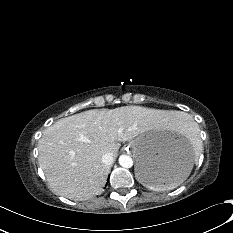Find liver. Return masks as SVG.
<instances>
[{"label":"liver","instance_id":"1","mask_svg":"<svg viewBox=\"0 0 233 233\" xmlns=\"http://www.w3.org/2000/svg\"><path fill=\"white\" fill-rule=\"evenodd\" d=\"M186 115L140 106L87 110L48 127L38 142V161L50 188L60 196L83 201L100 194L110 166L105 153L117 156L120 142L148 130L174 126Z\"/></svg>","mask_w":233,"mask_h":233}]
</instances>
